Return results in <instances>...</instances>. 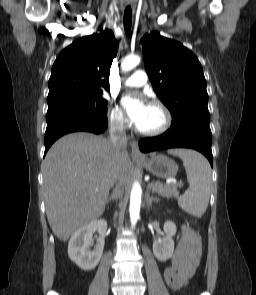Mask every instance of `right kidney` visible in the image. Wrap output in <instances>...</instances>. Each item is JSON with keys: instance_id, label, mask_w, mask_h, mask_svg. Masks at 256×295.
<instances>
[{"instance_id": "ca27d5eb", "label": "right kidney", "mask_w": 256, "mask_h": 295, "mask_svg": "<svg viewBox=\"0 0 256 295\" xmlns=\"http://www.w3.org/2000/svg\"><path fill=\"white\" fill-rule=\"evenodd\" d=\"M96 230L99 238L91 249L92 236ZM106 230L107 222L99 219L82 226L72 235L68 244V256L82 270L90 271L98 265L103 254Z\"/></svg>"}]
</instances>
